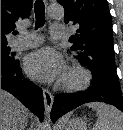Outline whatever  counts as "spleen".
Returning a JSON list of instances; mask_svg holds the SVG:
<instances>
[{
    "instance_id": "1",
    "label": "spleen",
    "mask_w": 123,
    "mask_h": 130,
    "mask_svg": "<svg viewBox=\"0 0 123 130\" xmlns=\"http://www.w3.org/2000/svg\"><path fill=\"white\" fill-rule=\"evenodd\" d=\"M88 106L96 110L98 116L92 130H123V116L115 107L100 102Z\"/></svg>"
}]
</instances>
